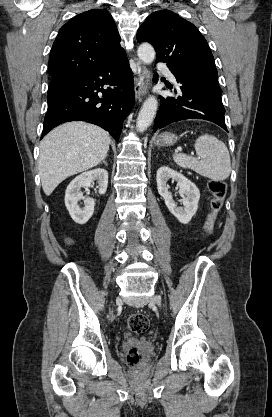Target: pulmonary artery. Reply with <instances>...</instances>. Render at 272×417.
Wrapping results in <instances>:
<instances>
[{"label": "pulmonary artery", "mask_w": 272, "mask_h": 417, "mask_svg": "<svg viewBox=\"0 0 272 417\" xmlns=\"http://www.w3.org/2000/svg\"><path fill=\"white\" fill-rule=\"evenodd\" d=\"M159 67H160V68H162V69L166 72L167 76L169 77V79H170L171 81H176L175 76L171 73V71H169V70L166 68V66H165V65H163V64H159Z\"/></svg>", "instance_id": "obj_1"}]
</instances>
